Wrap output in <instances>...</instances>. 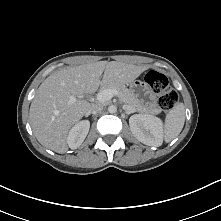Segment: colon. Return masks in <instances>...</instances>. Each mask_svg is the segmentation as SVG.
Wrapping results in <instances>:
<instances>
[{
	"label": "colon",
	"mask_w": 221,
	"mask_h": 221,
	"mask_svg": "<svg viewBox=\"0 0 221 221\" xmlns=\"http://www.w3.org/2000/svg\"><path fill=\"white\" fill-rule=\"evenodd\" d=\"M145 81L158 95L157 103L160 109L167 112L175 107L179 97L164 74L151 70L146 74Z\"/></svg>",
	"instance_id": "1"
}]
</instances>
